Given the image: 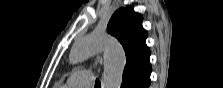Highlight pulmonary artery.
I'll return each instance as SVG.
<instances>
[{
    "mask_svg": "<svg viewBox=\"0 0 223 88\" xmlns=\"http://www.w3.org/2000/svg\"><path fill=\"white\" fill-rule=\"evenodd\" d=\"M93 73L89 70L74 72L68 79V84L76 88H88L94 83Z\"/></svg>",
    "mask_w": 223,
    "mask_h": 88,
    "instance_id": "obj_1",
    "label": "pulmonary artery"
}]
</instances>
